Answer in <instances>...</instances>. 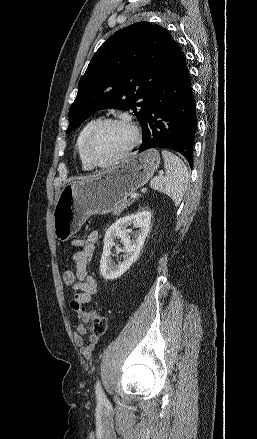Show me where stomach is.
Wrapping results in <instances>:
<instances>
[{
    "label": "stomach",
    "instance_id": "1",
    "mask_svg": "<svg viewBox=\"0 0 257 439\" xmlns=\"http://www.w3.org/2000/svg\"><path fill=\"white\" fill-rule=\"evenodd\" d=\"M159 164V152L148 149L130 154L106 171L65 185L53 210L55 237L65 242L91 215L110 213L132 192L145 185Z\"/></svg>",
    "mask_w": 257,
    "mask_h": 439
}]
</instances>
